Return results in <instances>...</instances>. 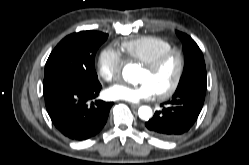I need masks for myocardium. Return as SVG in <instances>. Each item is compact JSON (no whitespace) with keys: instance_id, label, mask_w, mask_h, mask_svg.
<instances>
[{"instance_id":"f54148a6","label":"myocardium","mask_w":249,"mask_h":165,"mask_svg":"<svg viewBox=\"0 0 249 165\" xmlns=\"http://www.w3.org/2000/svg\"><path fill=\"white\" fill-rule=\"evenodd\" d=\"M171 59L176 60V70L171 83L166 88L155 92L159 98H167L177 90L184 71V55L180 50L172 48L162 53L151 62L142 63V67L147 69L150 73H156Z\"/></svg>"}]
</instances>
